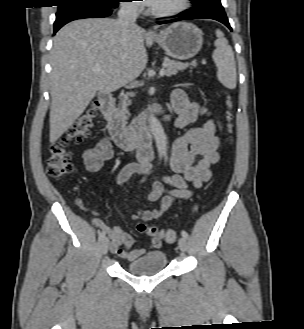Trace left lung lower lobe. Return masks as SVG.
Returning <instances> with one entry per match:
<instances>
[{
  "label": "left lung lower lobe",
  "instance_id": "left-lung-lower-lobe-1",
  "mask_svg": "<svg viewBox=\"0 0 304 329\" xmlns=\"http://www.w3.org/2000/svg\"><path fill=\"white\" fill-rule=\"evenodd\" d=\"M194 6L189 11L181 12L180 17L177 19L162 21L159 24L171 23L181 20L209 18L220 21L226 25L231 31L232 28L228 22L224 8L220 0H192Z\"/></svg>",
  "mask_w": 304,
  "mask_h": 329
}]
</instances>
